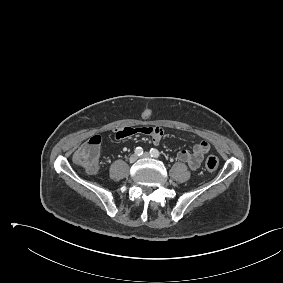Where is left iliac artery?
<instances>
[{
    "label": "left iliac artery",
    "instance_id": "44dca946",
    "mask_svg": "<svg viewBox=\"0 0 283 283\" xmlns=\"http://www.w3.org/2000/svg\"><path fill=\"white\" fill-rule=\"evenodd\" d=\"M150 155L154 158H158L160 156V153L157 149L155 148H151L150 150Z\"/></svg>",
    "mask_w": 283,
    "mask_h": 283
}]
</instances>
